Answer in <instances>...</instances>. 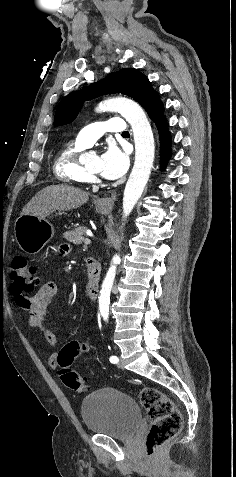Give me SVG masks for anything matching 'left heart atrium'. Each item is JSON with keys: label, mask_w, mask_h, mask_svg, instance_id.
<instances>
[{"label": "left heart atrium", "mask_w": 236, "mask_h": 477, "mask_svg": "<svg viewBox=\"0 0 236 477\" xmlns=\"http://www.w3.org/2000/svg\"><path fill=\"white\" fill-rule=\"evenodd\" d=\"M128 157L114 144H109L100 157V173L108 179L122 176L128 168Z\"/></svg>", "instance_id": "1"}]
</instances>
